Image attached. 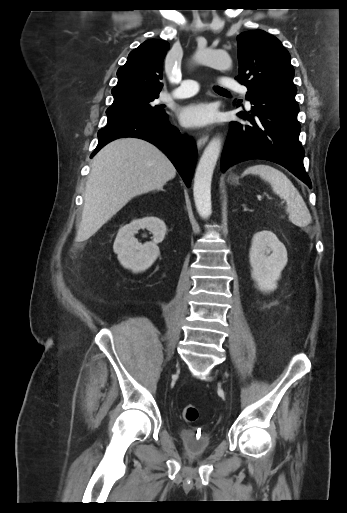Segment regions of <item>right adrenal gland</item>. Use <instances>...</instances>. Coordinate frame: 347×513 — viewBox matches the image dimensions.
<instances>
[{
  "label": "right adrenal gland",
  "mask_w": 347,
  "mask_h": 513,
  "mask_svg": "<svg viewBox=\"0 0 347 513\" xmlns=\"http://www.w3.org/2000/svg\"><path fill=\"white\" fill-rule=\"evenodd\" d=\"M161 191L165 192V190H164V189H161Z\"/></svg>",
  "instance_id": "1"
}]
</instances>
